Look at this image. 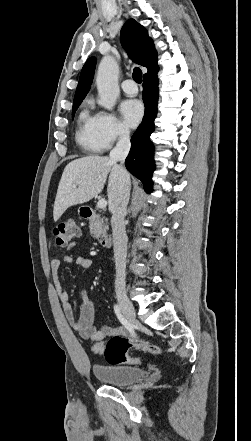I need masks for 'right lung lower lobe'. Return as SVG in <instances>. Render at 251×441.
<instances>
[{"label": "right lung lower lobe", "mask_w": 251, "mask_h": 441, "mask_svg": "<svg viewBox=\"0 0 251 441\" xmlns=\"http://www.w3.org/2000/svg\"><path fill=\"white\" fill-rule=\"evenodd\" d=\"M157 73L158 70L144 76L143 102L145 115L131 138V150L125 160L127 170L142 181L144 190L147 193L152 191V173L155 169L154 145L150 141V135L155 129L154 119L157 115L159 96Z\"/></svg>", "instance_id": "obj_1"}]
</instances>
